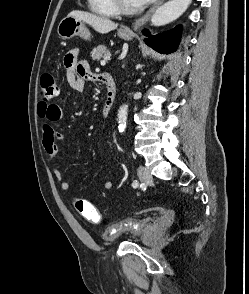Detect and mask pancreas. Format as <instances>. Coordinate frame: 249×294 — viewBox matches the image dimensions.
Segmentation results:
<instances>
[{
	"label": "pancreas",
	"instance_id": "1",
	"mask_svg": "<svg viewBox=\"0 0 249 294\" xmlns=\"http://www.w3.org/2000/svg\"><path fill=\"white\" fill-rule=\"evenodd\" d=\"M110 55V51L104 45H99L91 51V57L93 60H100L102 57Z\"/></svg>",
	"mask_w": 249,
	"mask_h": 294
}]
</instances>
